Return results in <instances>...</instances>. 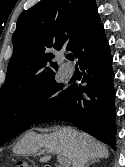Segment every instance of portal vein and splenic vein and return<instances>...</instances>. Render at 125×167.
<instances>
[{
    "instance_id": "1",
    "label": "portal vein and splenic vein",
    "mask_w": 125,
    "mask_h": 167,
    "mask_svg": "<svg viewBox=\"0 0 125 167\" xmlns=\"http://www.w3.org/2000/svg\"><path fill=\"white\" fill-rule=\"evenodd\" d=\"M57 160L61 164L62 167H69L71 164V161L68 158H65L61 155L57 156Z\"/></svg>"
}]
</instances>
